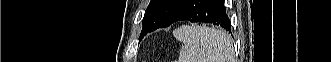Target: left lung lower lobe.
Returning <instances> with one entry per match:
<instances>
[{"mask_svg":"<svg viewBox=\"0 0 331 62\" xmlns=\"http://www.w3.org/2000/svg\"><path fill=\"white\" fill-rule=\"evenodd\" d=\"M188 20L190 22L212 23L231 31L230 20L226 14L223 0H185L170 16L163 27ZM149 31L142 30L140 40Z\"/></svg>","mask_w":331,"mask_h":62,"instance_id":"1","label":"left lung lower lobe"}]
</instances>
